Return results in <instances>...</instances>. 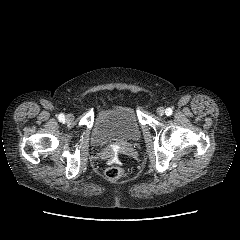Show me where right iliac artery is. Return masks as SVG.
<instances>
[{
  "label": "right iliac artery",
  "instance_id": "obj_1",
  "mask_svg": "<svg viewBox=\"0 0 240 240\" xmlns=\"http://www.w3.org/2000/svg\"><path fill=\"white\" fill-rule=\"evenodd\" d=\"M58 119H59V121L63 122L65 120V115L64 114H60L58 116Z\"/></svg>",
  "mask_w": 240,
  "mask_h": 240
}]
</instances>
